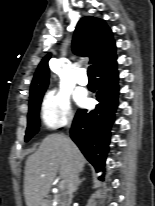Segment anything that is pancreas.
Segmentation results:
<instances>
[{"instance_id":"pancreas-1","label":"pancreas","mask_w":155,"mask_h":206,"mask_svg":"<svg viewBox=\"0 0 155 206\" xmlns=\"http://www.w3.org/2000/svg\"><path fill=\"white\" fill-rule=\"evenodd\" d=\"M56 203H57V206H65V201L63 198H61L60 196H58L56 198Z\"/></svg>"}]
</instances>
